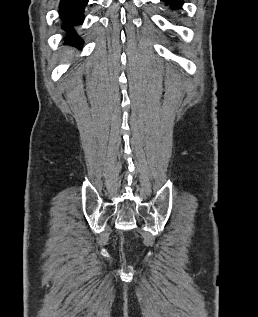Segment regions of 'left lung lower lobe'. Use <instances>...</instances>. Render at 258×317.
<instances>
[{
	"label": "left lung lower lobe",
	"instance_id": "1",
	"mask_svg": "<svg viewBox=\"0 0 258 317\" xmlns=\"http://www.w3.org/2000/svg\"><path fill=\"white\" fill-rule=\"evenodd\" d=\"M165 2L166 6H169L172 10H179L183 4V0H161Z\"/></svg>",
	"mask_w": 258,
	"mask_h": 317
}]
</instances>
